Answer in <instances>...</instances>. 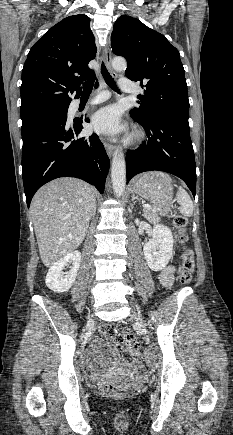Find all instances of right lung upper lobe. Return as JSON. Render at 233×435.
<instances>
[{"label": "right lung upper lobe", "mask_w": 233, "mask_h": 435, "mask_svg": "<svg viewBox=\"0 0 233 435\" xmlns=\"http://www.w3.org/2000/svg\"><path fill=\"white\" fill-rule=\"evenodd\" d=\"M90 19L84 14L57 23L30 49L22 70L21 116L69 106L70 94L80 95L79 84L93 71L96 55Z\"/></svg>", "instance_id": "cb5924a9"}]
</instances>
